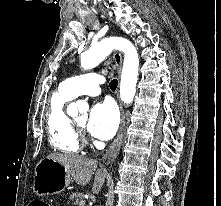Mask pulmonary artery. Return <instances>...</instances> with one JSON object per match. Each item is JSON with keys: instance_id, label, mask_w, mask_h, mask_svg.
<instances>
[{"instance_id": "e3ab8cb5", "label": "pulmonary artery", "mask_w": 221, "mask_h": 206, "mask_svg": "<svg viewBox=\"0 0 221 206\" xmlns=\"http://www.w3.org/2000/svg\"><path fill=\"white\" fill-rule=\"evenodd\" d=\"M106 82L104 76L97 73H86L67 79L61 83L64 91L73 98L79 95L97 96L100 94V86Z\"/></svg>"}]
</instances>
